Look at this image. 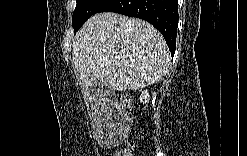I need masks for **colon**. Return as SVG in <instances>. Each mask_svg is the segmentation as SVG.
<instances>
[{
  "label": "colon",
  "mask_w": 247,
  "mask_h": 156,
  "mask_svg": "<svg viewBox=\"0 0 247 156\" xmlns=\"http://www.w3.org/2000/svg\"><path fill=\"white\" fill-rule=\"evenodd\" d=\"M117 100L119 102V108H128L131 103V96L128 93L120 94L117 96ZM119 111H116L114 114V122L117 123L119 118H117V114ZM130 124H132V119L129 118L126 120ZM134 149V140L133 138L129 139L125 145L115 154V156H128L131 155V152Z\"/></svg>",
  "instance_id": "obj_1"
}]
</instances>
